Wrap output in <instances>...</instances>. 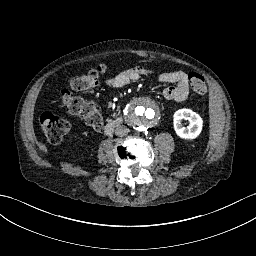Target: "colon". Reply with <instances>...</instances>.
<instances>
[{
  "label": "colon",
  "mask_w": 256,
  "mask_h": 256,
  "mask_svg": "<svg viewBox=\"0 0 256 256\" xmlns=\"http://www.w3.org/2000/svg\"><path fill=\"white\" fill-rule=\"evenodd\" d=\"M104 74L105 67L99 65L73 78L72 89L77 92L91 91L100 84ZM188 80L194 94L204 95L206 93V81L200 73L189 72ZM61 104L70 113L79 116L91 128L98 130L102 127V116L91 101L75 96L70 91H63ZM40 121L48 141L52 144H60L70 129L69 121L49 112L43 113Z\"/></svg>",
  "instance_id": "5ec220e1"
}]
</instances>
